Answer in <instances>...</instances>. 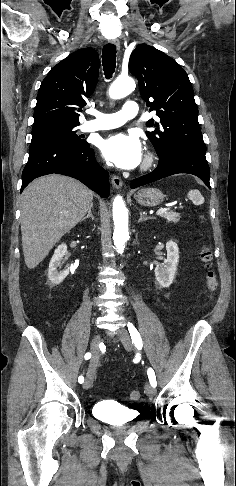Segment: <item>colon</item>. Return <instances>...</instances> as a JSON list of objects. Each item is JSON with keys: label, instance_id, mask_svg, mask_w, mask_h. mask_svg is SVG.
Listing matches in <instances>:
<instances>
[{"label": "colon", "instance_id": "obj_1", "mask_svg": "<svg viewBox=\"0 0 236 486\" xmlns=\"http://www.w3.org/2000/svg\"><path fill=\"white\" fill-rule=\"evenodd\" d=\"M211 259H212L211 252L207 248H203L201 250V260L203 261V263L207 268L206 280H207L208 289L209 291L213 292L217 287V281H216L215 273L211 269V264H210ZM129 398L130 400L133 401L138 400L140 398V391L139 390L130 391Z\"/></svg>", "mask_w": 236, "mask_h": 486}]
</instances>
